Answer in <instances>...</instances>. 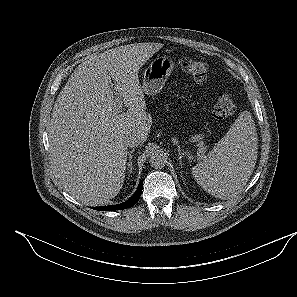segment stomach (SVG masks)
I'll return each mask as SVG.
<instances>
[{
	"instance_id": "obj_1",
	"label": "stomach",
	"mask_w": 297,
	"mask_h": 297,
	"mask_svg": "<svg viewBox=\"0 0 297 297\" xmlns=\"http://www.w3.org/2000/svg\"><path fill=\"white\" fill-rule=\"evenodd\" d=\"M172 58L164 55L155 58L145 69L142 90L145 94L153 96L160 92L174 69Z\"/></svg>"
}]
</instances>
